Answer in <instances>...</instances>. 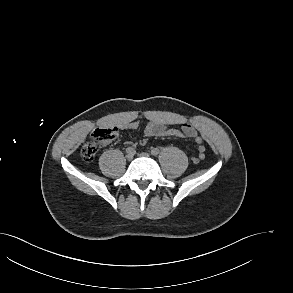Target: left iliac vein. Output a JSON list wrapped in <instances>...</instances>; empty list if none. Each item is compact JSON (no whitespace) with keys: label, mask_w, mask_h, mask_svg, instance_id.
I'll use <instances>...</instances> for the list:
<instances>
[{"label":"left iliac vein","mask_w":293,"mask_h":293,"mask_svg":"<svg viewBox=\"0 0 293 293\" xmlns=\"http://www.w3.org/2000/svg\"><path fill=\"white\" fill-rule=\"evenodd\" d=\"M140 156H142V157H149V154L148 153H141Z\"/></svg>","instance_id":"obj_1"}]
</instances>
